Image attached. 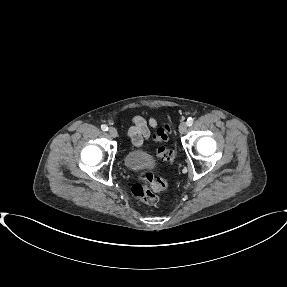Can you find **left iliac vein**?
I'll return each mask as SVG.
<instances>
[{
  "instance_id": "1",
  "label": "left iliac vein",
  "mask_w": 287,
  "mask_h": 287,
  "mask_svg": "<svg viewBox=\"0 0 287 287\" xmlns=\"http://www.w3.org/2000/svg\"><path fill=\"white\" fill-rule=\"evenodd\" d=\"M187 131V123L186 122H181L179 125V132L181 134H184Z\"/></svg>"
}]
</instances>
